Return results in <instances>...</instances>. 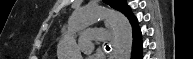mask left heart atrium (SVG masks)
I'll use <instances>...</instances> for the list:
<instances>
[{
  "label": "left heart atrium",
  "mask_w": 193,
  "mask_h": 59,
  "mask_svg": "<svg viewBox=\"0 0 193 59\" xmlns=\"http://www.w3.org/2000/svg\"><path fill=\"white\" fill-rule=\"evenodd\" d=\"M87 59H101V58H99V57L96 56V55H92V56H89Z\"/></svg>",
  "instance_id": "1"
}]
</instances>
